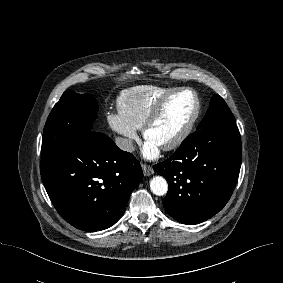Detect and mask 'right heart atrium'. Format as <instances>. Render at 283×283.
Returning <instances> with one entry per match:
<instances>
[{
    "mask_svg": "<svg viewBox=\"0 0 283 283\" xmlns=\"http://www.w3.org/2000/svg\"><path fill=\"white\" fill-rule=\"evenodd\" d=\"M107 121L111 129L120 136L122 148L131 151L133 143L138 138L137 129L128 123L119 111L108 112Z\"/></svg>",
    "mask_w": 283,
    "mask_h": 283,
    "instance_id": "right-heart-atrium-1",
    "label": "right heart atrium"
}]
</instances>
